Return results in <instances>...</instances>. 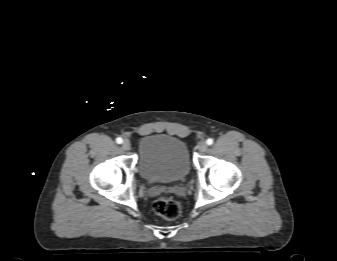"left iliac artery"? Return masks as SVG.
<instances>
[{"instance_id":"obj_1","label":"left iliac artery","mask_w":337,"mask_h":261,"mask_svg":"<svg viewBox=\"0 0 337 261\" xmlns=\"http://www.w3.org/2000/svg\"><path fill=\"white\" fill-rule=\"evenodd\" d=\"M206 143L208 145H212L213 144V139L212 138L207 139Z\"/></svg>"}]
</instances>
